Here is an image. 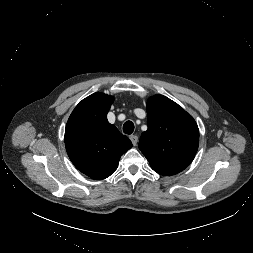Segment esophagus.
<instances>
[{"label": "esophagus", "instance_id": "obj_1", "mask_svg": "<svg viewBox=\"0 0 253 253\" xmlns=\"http://www.w3.org/2000/svg\"><path fill=\"white\" fill-rule=\"evenodd\" d=\"M129 138H130L132 144H133L134 146H136L137 143H138V136H137V135H131Z\"/></svg>", "mask_w": 253, "mask_h": 253}]
</instances>
